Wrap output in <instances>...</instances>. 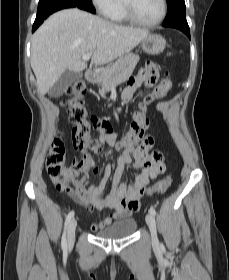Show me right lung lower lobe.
Masks as SVG:
<instances>
[{"label":"right lung lower lobe","mask_w":229,"mask_h":280,"mask_svg":"<svg viewBox=\"0 0 229 280\" xmlns=\"http://www.w3.org/2000/svg\"><path fill=\"white\" fill-rule=\"evenodd\" d=\"M74 7L91 13L96 12L91 2L87 0H39L37 16L32 27V32H34L50 14L61 9Z\"/></svg>","instance_id":"right-lung-lower-lobe-1"}]
</instances>
